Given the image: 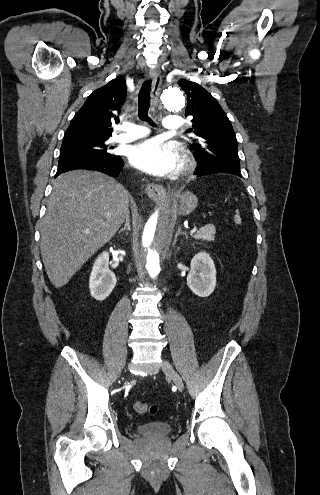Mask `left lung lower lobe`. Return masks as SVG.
Masks as SVG:
<instances>
[{
	"label": "left lung lower lobe",
	"instance_id": "obj_1",
	"mask_svg": "<svg viewBox=\"0 0 320 495\" xmlns=\"http://www.w3.org/2000/svg\"><path fill=\"white\" fill-rule=\"evenodd\" d=\"M199 162V167L196 168L194 174L197 175V177L200 176H205V175H210V174H216V173H229L233 175H237L241 177L240 175V170L230 168V167H225V166H208L205 165L201 160L195 158Z\"/></svg>",
	"mask_w": 320,
	"mask_h": 495
}]
</instances>
